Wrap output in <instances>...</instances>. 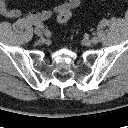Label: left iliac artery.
<instances>
[{
    "label": "left iliac artery",
    "mask_w": 128,
    "mask_h": 128,
    "mask_svg": "<svg viewBox=\"0 0 128 128\" xmlns=\"http://www.w3.org/2000/svg\"><path fill=\"white\" fill-rule=\"evenodd\" d=\"M92 42L96 44L98 42V38L97 37H93L92 38Z\"/></svg>",
    "instance_id": "1"
}]
</instances>
